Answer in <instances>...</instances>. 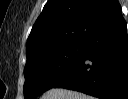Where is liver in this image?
Masks as SVG:
<instances>
[{"instance_id":"liver-1","label":"liver","mask_w":128,"mask_h":99,"mask_svg":"<svg viewBox=\"0 0 128 99\" xmlns=\"http://www.w3.org/2000/svg\"><path fill=\"white\" fill-rule=\"evenodd\" d=\"M41 99H95V98L76 91L56 88V89H51L46 93H44Z\"/></svg>"}]
</instances>
